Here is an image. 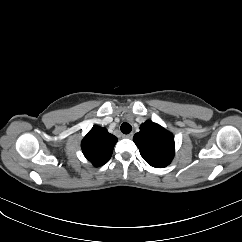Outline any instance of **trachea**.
Wrapping results in <instances>:
<instances>
[{
    "mask_svg": "<svg viewBox=\"0 0 242 242\" xmlns=\"http://www.w3.org/2000/svg\"><path fill=\"white\" fill-rule=\"evenodd\" d=\"M120 129H121L122 133L129 134L132 130V126L129 123L124 122V123H122Z\"/></svg>",
    "mask_w": 242,
    "mask_h": 242,
    "instance_id": "1",
    "label": "trachea"
}]
</instances>
